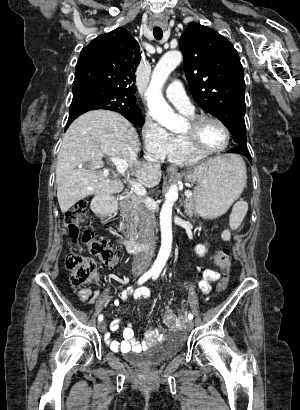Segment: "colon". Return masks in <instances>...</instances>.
I'll use <instances>...</instances> for the list:
<instances>
[{"instance_id":"1","label":"colon","mask_w":300,"mask_h":410,"mask_svg":"<svg viewBox=\"0 0 300 410\" xmlns=\"http://www.w3.org/2000/svg\"><path fill=\"white\" fill-rule=\"evenodd\" d=\"M87 201L80 200L70 208L64 216V225L68 230L70 241L73 244L83 243L89 253L98 258L102 264L112 267L117 263V255L114 247L101 236L96 235L91 229L84 228L83 222L86 218ZM215 263L227 271L230 267V252L227 248H219L215 253ZM66 269L69 272V282L74 286H83L90 282L96 272V265L91 257L72 252L66 256ZM228 279L226 276L220 279L217 290L226 289ZM164 321L174 326L177 318L172 311L164 313Z\"/></svg>"}]
</instances>
